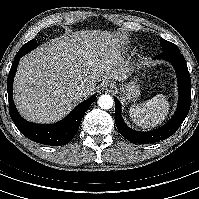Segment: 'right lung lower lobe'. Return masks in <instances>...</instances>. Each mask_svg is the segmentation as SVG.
I'll use <instances>...</instances> for the list:
<instances>
[{
    "mask_svg": "<svg viewBox=\"0 0 199 199\" xmlns=\"http://www.w3.org/2000/svg\"><path fill=\"white\" fill-rule=\"evenodd\" d=\"M27 53V51H19L16 54L7 80L9 113L11 119L23 135L34 142L52 146L65 145L76 135L84 113L96 99V96H92L86 101L80 103L70 112V114L57 123L51 125H39L26 121L20 116L15 107L12 98V87L19 60Z\"/></svg>",
    "mask_w": 199,
    "mask_h": 199,
    "instance_id": "1",
    "label": "right lung lower lobe"
}]
</instances>
